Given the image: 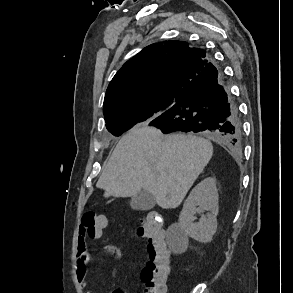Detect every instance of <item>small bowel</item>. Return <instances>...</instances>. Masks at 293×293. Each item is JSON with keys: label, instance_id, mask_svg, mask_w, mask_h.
I'll return each mask as SVG.
<instances>
[{"label": "small bowel", "instance_id": "c3829d8e", "mask_svg": "<svg viewBox=\"0 0 293 293\" xmlns=\"http://www.w3.org/2000/svg\"><path fill=\"white\" fill-rule=\"evenodd\" d=\"M103 251L105 253L113 255L117 259H121L124 255L122 248L117 245L107 243L103 245ZM94 261L93 254L88 250L87 237L84 234L82 228H80L77 240H76V271L77 278L82 287H87V273L88 266ZM85 293H94L91 290H87ZM112 293H129L125 289H114Z\"/></svg>", "mask_w": 293, "mask_h": 293}]
</instances>
